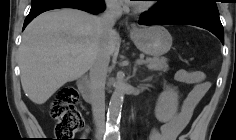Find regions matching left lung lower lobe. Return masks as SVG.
Segmentation results:
<instances>
[{
	"label": "left lung lower lobe",
	"mask_w": 236,
	"mask_h": 140,
	"mask_svg": "<svg viewBox=\"0 0 236 140\" xmlns=\"http://www.w3.org/2000/svg\"><path fill=\"white\" fill-rule=\"evenodd\" d=\"M141 25H194L213 33L224 44V30L219 14L199 11H177L166 13L157 8L142 14Z\"/></svg>",
	"instance_id": "obj_1"
}]
</instances>
